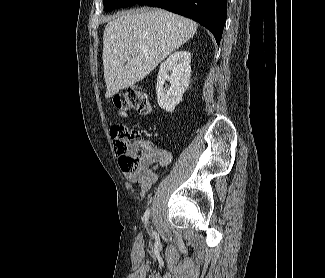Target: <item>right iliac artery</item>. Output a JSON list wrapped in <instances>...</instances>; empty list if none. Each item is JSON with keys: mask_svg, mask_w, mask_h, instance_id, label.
<instances>
[{"mask_svg": "<svg viewBox=\"0 0 325 278\" xmlns=\"http://www.w3.org/2000/svg\"><path fill=\"white\" fill-rule=\"evenodd\" d=\"M149 213H150V210L147 209L146 212H145V214H144L145 224H148Z\"/></svg>", "mask_w": 325, "mask_h": 278, "instance_id": "obj_1", "label": "right iliac artery"}]
</instances>
